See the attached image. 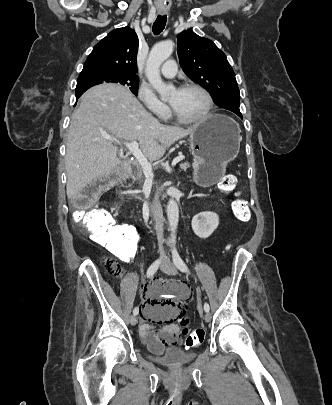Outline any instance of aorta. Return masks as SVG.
<instances>
[{"label":"aorta","mask_w":332,"mask_h":405,"mask_svg":"<svg viewBox=\"0 0 332 405\" xmlns=\"http://www.w3.org/2000/svg\"><path fill=\"white\" fill-rule=\"evenodd\" d=\"M174 49V43L171 40L157 43L153 46L146 62L145 74L151 86L164 96L171 89V86L165 84L160 76V66L167 60ZM167 216L171 231V241H176V230L179 222V209L175 200L170 199L167 205Z\"/></svg>","instance_id":"1"}]
</instances>
